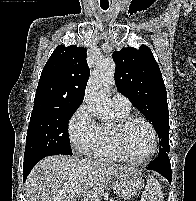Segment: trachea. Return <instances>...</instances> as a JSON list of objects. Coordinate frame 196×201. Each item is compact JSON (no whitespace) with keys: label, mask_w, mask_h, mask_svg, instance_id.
<instances>
[{"label":"trachea","mask_w":196,"mask_h":201,"mask_svg":"<svg viewBox=\"0 0 196 201\" xmlns=\"http://www.w3.org/2000/svg\"><path fill=\"white\" fill-rule=\"evenodd\" d=\"M101 8H102L103 10H107V9H108V6H101Z\"/></svg>","instance_id":"trachea-1"}]
</instances>
